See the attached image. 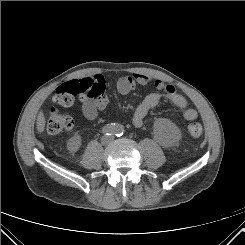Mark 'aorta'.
Masks as SVG:
<instances>
[{
  "mask_svg": "<svg viewBox=\"0 0 245 245\" xmlns=\"http://www.w3.org/2000/svg\"><path fill=\"white\" fill-rule=\"evenodd\" d=\"M114 130H115V132L119 133V132H121V130H122V126H121V125H116V126L114 127Z\"/></svg>",
  "mask_w": 245,
  "mask_h": 245,
  "instance_id": "obj_1",
  "label": "aorta"
}]
</instances>
